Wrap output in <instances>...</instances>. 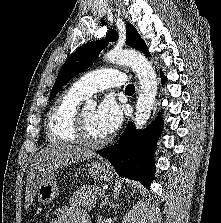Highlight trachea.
<instances>
[{"label":"trachea","mask_w":221,"mask_h":223,"mask_svg":"<svg viewBox=\"0 0 221 223\" xmlns=\"http://www.w3.org/2000/svg\"><path fill=\"white\" fill-rule=\"evenodd\" d=\"M135 91V86L133 84H128L126 87V92L131 93Z\"/></svg>","instance_id":"1"}]
</instances>
